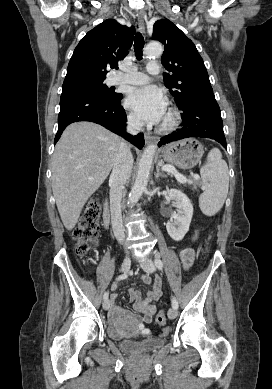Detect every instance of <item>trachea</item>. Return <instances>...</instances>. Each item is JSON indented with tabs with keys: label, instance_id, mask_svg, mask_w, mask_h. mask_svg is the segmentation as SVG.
I'll use <instances>...</instances> for the list:
<instances>
[{
	"label": "trachea",
	"instance_id": "1",
	"mask_svg": "<svg viewBox=\"0 0 272 389\" xmlns=\"http://www.w3.org/2000/svg\"><path fill=\"white\" fill-rule=\"evenodd\" d=\"M144 47V38L140 32L135 34L134 38V51L137 60L142 59V49Z\"/></svg>",
	"mask_w": 272,
	"mask_h": 389
}]
</instances>
